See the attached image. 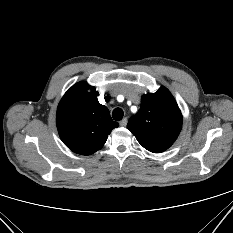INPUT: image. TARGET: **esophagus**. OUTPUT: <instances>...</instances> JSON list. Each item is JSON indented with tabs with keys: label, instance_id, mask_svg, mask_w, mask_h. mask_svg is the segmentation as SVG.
I'll list each match as a JSON object with an SVG mask.
<instances>
[{
	"label": "esophagus",
	"instance_id": "obj_1",
	"mask_svg": "<svg viewBox=\"0 0 233 233\" xmlns=\"http://www.w3.org/2000/svg\"><path fill=\"white\" fill-rule=\"evenodd\" d=\"M127 122H128L127 118H123V119L119 122V124H120L121 127H125V126L127 125Z\"/></svg>",
	"mask_w": 233,
	"mask_h": 233
}]
</instances>
